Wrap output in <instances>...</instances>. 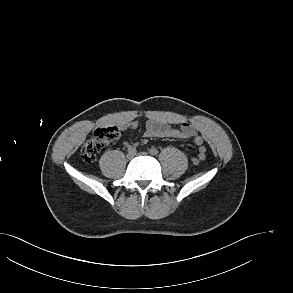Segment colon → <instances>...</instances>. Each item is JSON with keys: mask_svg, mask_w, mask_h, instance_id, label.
Returning a JSON list of instances; mask_svg holds the SVG:
<instances>
[{"mask_svg": "<svg viewBox=\"0 0 293 293\" xmlns=\"http://www.w3.org/2000/svg\"><path fill=\"white\" fill-rule=\"evenodd\" d=\"M119 137V129L115 126H106L97 128L92 137L83 145L81 149V158L86 163H92L96 160L98 153L107 144L115 141ZM205 159V152L201 150L197 158L193 159L194 164H198Z\"/></svg>", "mask_w": 293, "mask_h": 293, "instance_id": "obj_1", "label": "colon"}]
</instances>
